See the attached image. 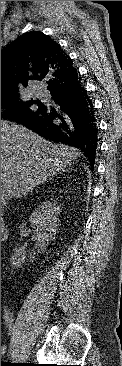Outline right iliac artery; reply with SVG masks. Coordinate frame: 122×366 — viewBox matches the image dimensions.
I'll return each mask as SVG.
<instances>
[{"mask_svg":"<svg viewBox=\"0 0 122 366\" xmlns=\"http://www.w3.org/2000/svg\"><path fill=\"white\" fill-rule=\"evenodd\" d=\"M4 319H5L6 325H7L9 328H11V322H10V318H9V313H8V311H5Z\"/></svg>","mask_w":122,"mask_h":366,"instance_id":"obj_1","label":"right iliac artery"}]
</instances>
